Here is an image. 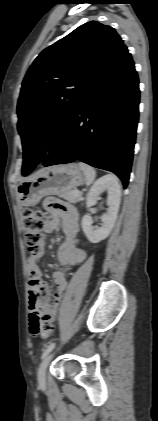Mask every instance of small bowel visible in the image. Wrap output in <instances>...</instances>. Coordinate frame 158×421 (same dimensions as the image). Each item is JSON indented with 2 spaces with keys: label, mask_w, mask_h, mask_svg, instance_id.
Instances as JSON below:
<instances>
[{
  "label": "small bowel",
  "mask_w": 158,
  "mask_h": 421,
  "mask_svg": "<svg viewBox=\"0 0 158 421\" xmlns=\"http://www.w3.org/2000/svg\"><path fill=\"white\" fill-rule=\"evenodd\" d=\"M45 208L50 213L46 223L48 232L61 226L65 240L57 251V258L61 269L53 274V282L56 290L51 302V293L47 283L42 279V273L38 260L45 253V245L42 242L37 251L31 254L28 260L29 274V325L32 334L43 323L51 324L58 315V306L62 301L67 282L64 269L80 265L86 258V252L77 245L79 231V217L77 211L65 202L56 198H47Z\"/></svg>",
  "instance_id": "c3829d8e"
}]
</instances>
